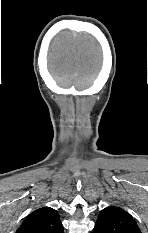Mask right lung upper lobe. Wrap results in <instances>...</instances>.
Returning a JSON list of instances; mask_svg holds the SVG:
<instances>
[{"label":"right lung upper lobe","instance_id":"1","mask_svg":"<svg viewBox=\"0 0 148 233\" xmlns=\"http://www.w3.org/2000/svg\"><path fill=\"white\" fill-rule=\"evenodd\" d=\"M16 233H63V226L55 209L42 207L31 213Z\"/></svg>","mask_w":148,"mask_h":233}]
</instances>
